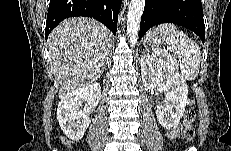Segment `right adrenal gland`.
Here are the masks:
<instances>
[{
  "label": "right adrenal gland",
  "mask_w": 231,
  "mask_h": 151,
  "mask_svg": "<svg viewBox=\"0 0 231 151\" xmlns=\"http://www.w3.org/2000/svg\"><path fill=\"white\" fill-rule=\"evenodd\" d=\"M108 64H109V58L107 57L104 66H107Z\"/></svg>",
  "instance_id": "right-adrenal-gland-1"
}]
</instances>
